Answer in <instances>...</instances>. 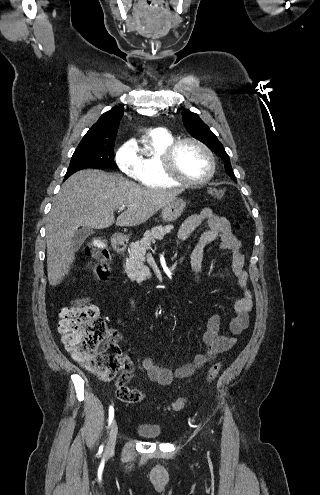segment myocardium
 <instances>
[{
    "label": "myocardium",
    "mask_w": 320,
    "mask_h": 495,
    "mask_svg": "<svg viewBox=\"0 0 320 495\" xmlns=\"http://www.w3.org/2000/svg\"><path fill=\"white\" fill-rule=\"evenodd\" d=\"M186 143H192V144L196 145L198 148H200L204 152V154L208 158L210 167H209L208 174L205 177L200 178V179L191 180V179H187V178L183 177L179 173V171L177 169V165H176V155H177L179 148L183 144H186ZM162 166H163L164 173L171 180L179 183L180 185H184V186L204 185V184L208 183L213 178V176L215 175V172H216V160H215V157H214V154L212 153V151L203 142H201L200 140H198L196 138H192V137H185V138L177 139V140L173 141L170 145H168L162 154Z\"/></svg>",
    "instance_id": "f54148a6"
}]
</instances>
